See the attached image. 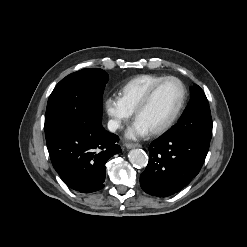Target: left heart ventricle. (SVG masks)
<instances>
[{
    "mask_svg": "<svg viewBox=\"0 0 247 247\" xmlns=\"http://www.w3.org/2000/svg\"><path fill=\"white\" fill-rule=\"evenodd\" d=\"M181 87L169 81L156 92L151 103L136 118L150 132L165 124L176 111L181 99Z\"/></svg>",
    "mask_w": 247,
    "mask_h": 247,
    "instance_id": "1",
    "label": "left heart ventricle"
}]
</instances>
